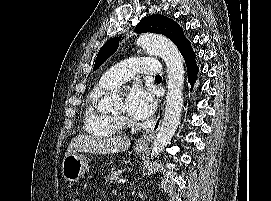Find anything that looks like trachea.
Returning a JSON list of instances; mask_svg holds the SVG:
<instances>
[{"mask_svg": "<svg viewBox=\"0 0 271 201\" xmlns=\"http://www.w3.org/2000/svg\"><path fill=\"white\" fill-rule=\"evenodd\" d=\"M155 79H162L160 75H156Z\"/></svg>", "mask_w": 271, "mask_h": 201, "instance_id": "3493384b", "label": "trachea"}]
</instances>
